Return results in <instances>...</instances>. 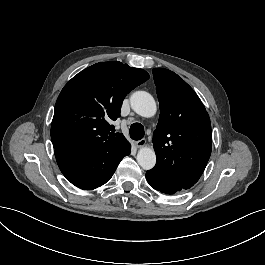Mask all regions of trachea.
I'll list each match as a JSON object with an SVG mask.
<instances>
[{
    "label": "trachea",
    "instance_id": "obj_1",
    "mask_svg": "<svg viewBox=\"0 0 265 265\" xmlns=\"http://www.w3.org/2000/svg\"><path fill=\"white\" fill-rule=\"evenodd\" d=\"M129 133H130V137L133 140H141L144 137L145 130L141 123L136 122L130 126Z\"/></svg>",
    "mask_w": 265,
    "mask_h": 265
}]
</instances>
